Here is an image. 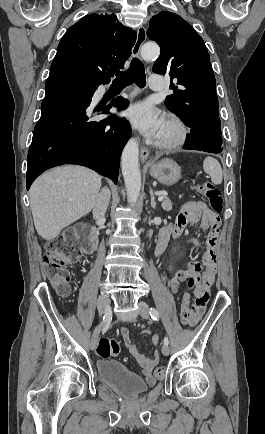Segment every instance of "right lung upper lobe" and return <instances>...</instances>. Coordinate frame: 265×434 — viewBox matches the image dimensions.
Wrapping results in <instances>:
<instances>
[{
    "mask_svg": "<svg viewBox=\"0 0 265 434\" xmlns=\"http://www.w3.org/2000/svg\"><path fill=\"white\" fill-rule=\"evenodd\" d=\"M136 41L114 13L89 14L61 39L49 75L66 74L106 80L124 66Z\"/></svg>",
    "mask_w": 265,
    "mask_h": 434,
    "instance_id": "right-lung-upper-lobe-1",
    "label": "right lung upper lobe"
}]
</instances>
